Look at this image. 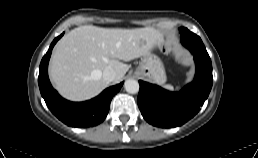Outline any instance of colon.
Here are the masks:
<instances>
[{
  "mask_svg": "<svg viewBox=\"0 0 258 158\" xmlns=\"http://www.w3.org/2000/svg\"><path fill=\"white\" fill-rule=\"evenodd\" d=\"M162 50H163V52H165L166 54H174V53H175V50H174L173 45H172L170 42H168V41H164V42L162 43ZM184 56H185V55L179 57V60L182 61L183 58H184Z\"/></svg>",
  "mask_w": 258,
  "mask_h": 158,
  "instance_id": "obj_1",
  "label": "colon"
}]
</instances>
